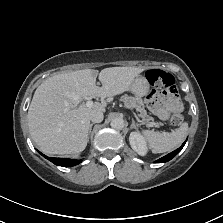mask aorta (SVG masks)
<instances>
[{
    "instance_id": "obj_1",
    "label": "aorta",
    "mask_w": 223,
    "mask_h": 223,
    "mask_svg": "<svg viewBox=\"0 0 223 223\" xmlns=\"http://www.w3.org/2000/svg\"><path fill=\"white\" fill-rule=\"evenodd\" d=\"M111 127L113 129H117V130H121L124 128V120L120 117H117V118H114L111 120V123H110Z\"/></svg>"
}]
</instances>
